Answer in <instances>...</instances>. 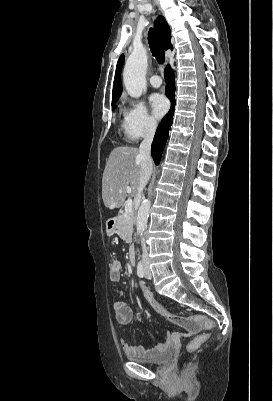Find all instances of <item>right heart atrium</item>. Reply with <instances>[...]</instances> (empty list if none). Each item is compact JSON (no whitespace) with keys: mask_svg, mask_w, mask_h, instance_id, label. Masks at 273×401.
<instances>
[{"mask_svg":"<svg viewBox=\"0 0 273 401\" xmlns=\"http://www.w3.org/2000/svg\"><path fill=\"white\" fill-rule=\"evenodd\" d=\"M123 114L125 134L131 141L150 137L157 130V121L149 115L141 102L129 101Z\"/></svg>","mask_w":273,"mask_h":401,"instance_id":"obj_1","label":"right heart atrium"}]
</instances>
